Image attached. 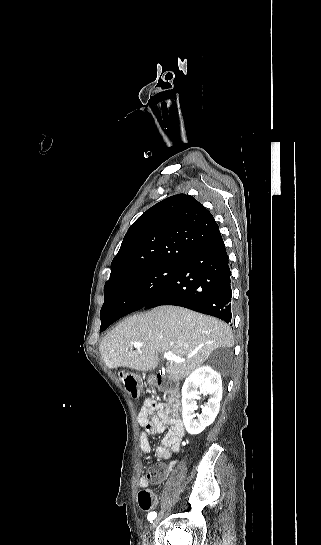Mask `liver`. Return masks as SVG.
<instances>
[{
  "mask_svg": "<svg viewBox=\"0 0 321 545\" xmlns=\"http://www.w3.org/2000/svg\"><path fill=\"white\" fill-rule=\"evenodd\" d=\"M133 343L143 345L133 351ZM233 345L231 329L223 321L166 305L127 317L107 333L99 349L109 369L129 367L135 371H153L159 353L172 351L173 355L188 359L167 365L169 377L180 381L201 367L215 349H230Z\"/></svg>",
  "mask_w": 321,
  "mask_h": 545,
  "instance_id": "liver-1",
  "label": "liver"
}]
</instances>
